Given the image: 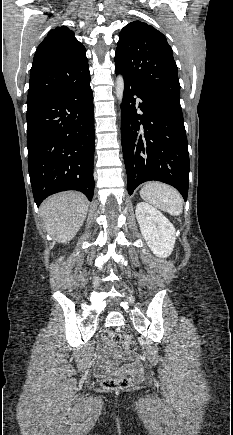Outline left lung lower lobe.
<instances>
[{
    "label": "left lung lower lobe",
    "mask_w": 233,
    "mask_h": 435,
    "mask_svg": "<svg viewBox=\"0 0 233 435\" xmlns=\"http://www.w3.org/2000/svg\"><path fill=\"white\" fill-rule=\"evenodd\" d=\"M121 134L128 193L157 180L175 187L186 201L190 164L180 102L151 95L124 77Z\"/></svg>",
    "instance_id": "1"
}]
</instances>
